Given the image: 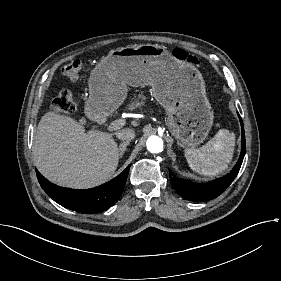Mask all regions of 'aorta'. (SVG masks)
I'll return each instance as SVG.
<instances>
[{"label": "aorta", "mask_w": 281, "mask_h": 281, "mask_svg": "<svg viewBox=\"0 0 281 281\" xmlns=\"http://www.w3.org/2000/svg\"><path fill=\"white\" fill-rule=\"evenodd\" d=\"M146 146L151 153H160L163 151V140L158 136H150L146 142Z\"/></svg>", "instance_id": "762f6f07"}]
</instances>
